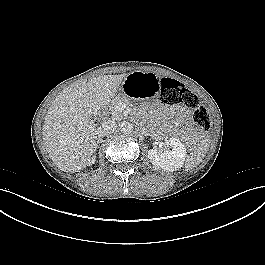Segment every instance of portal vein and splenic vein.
Segmentation results:
<instances>
[{
    "label": "portal vein and splenic vein",
    "instance_id": "portal-vein-and-splenic-vein-1",
    "mask_svg": "<svg viewBox=\"0 0 265 265\" xmlns=\"http://www.w3.org/2000/svg\"><path fill=\"white\" fill-rule=\"evenodd\" d=\"M122 104L119 105V110H122L123 106H121Z\"/></svg>",
    "mask_w": 265,
    "mask_h": 265
}]
</instances>
